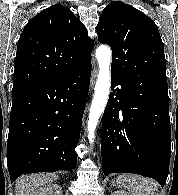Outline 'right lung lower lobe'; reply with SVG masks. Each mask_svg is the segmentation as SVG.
Instances as JSON below:
<instances>
[{
  "mask_svg": "<svg viewBox=\"0 0 178 195\" xmlns=\"http://www.w3.org/2000/svg\"><path fill=\"white\" fill-rule=\"evenodd\" d=\"M90 74L91 63L69 76L13 87L7 142L11 183L24 173L76 168Z\"/></svg>",
  "mask_w": 178,
  "mask_h": 195,
  "instance_id": "1",
  "label": "right lung lower lobe"
}]
</instances>
